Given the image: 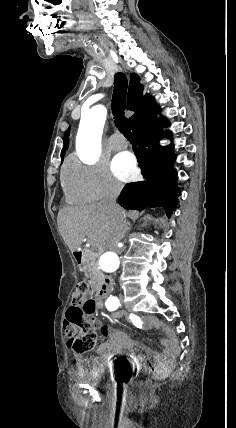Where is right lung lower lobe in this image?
I'll return each mask as SVG.
<instances>
[{
    "label": "right lung lower lobe",
    "instance_id": "98d812e1",
    "mask_svg": "<svg viewBox=\"0 0 236 428\" xmlns=\"http://www.w3.org/2000/svg\"><path fill=\"white\" fill-rule=\"evenodd\" d=\"M160 110L148 116L134 127L133 147L144 180L127 184L119 196L118 203L126 209L142 210L144 208L162 207L168 218L176 209L180 189L177 186V172L172 165L175 161L173 145H159V140L170 132L161 128L169 126L168 120L156 115Z\"/></svg>",
    "mask_w": 236,
    "mask_h": 428
}]
</instances>
